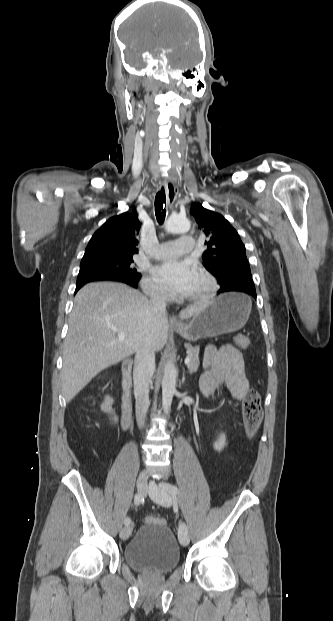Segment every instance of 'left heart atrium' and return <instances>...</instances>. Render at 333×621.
Returning <instances> with one entry per match:
<instances>
[{
    "mask_svg": "<svg viewBox=\"0 0 333 621\" xmlns=\"http://www.w3.org/2000/svg\"><path fill=\"white\" fill-rule=\"evenodd\" d=\"M154 273L168 289L183 294L193 281L196 270L185 261L168 260L158 265Z\"/></svg>",
    "mask_w": 333,
    "mask_h": 621,
    "instance_id": "left-heart-atrium-1",
    "label": "left heart atrium"
}]
</instances>
